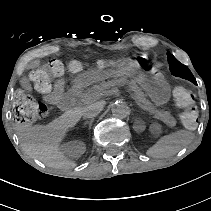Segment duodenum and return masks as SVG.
I'll return each instance as SVG.
<instances>
[{
  "instance_id": "410a0bca",
  "label": "duodenum",
  "mask_w": 211,
  "mask_h": 211,
  "mask_svg": "<svg viewBox=\"0 0 211 211\" xmlns=\"http://www.w3.org/2000/svg\"><path fill=\"white\" fill-rule=\"evenodd\" d=\"M79 92V87L78 86H73L66 94H64L60 100L58 101V106L61 110L63 111H68L70 110L76 100V97Z\"/></svg>"
}]
</instances>
